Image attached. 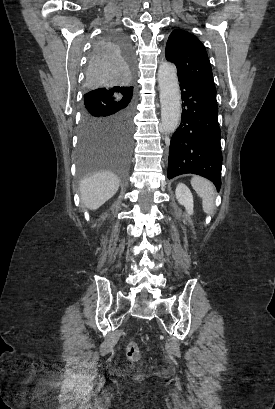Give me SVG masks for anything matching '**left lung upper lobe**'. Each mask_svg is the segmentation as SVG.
I'll list each match as a JSON object with an SVG mask.
<instances>
[{"label":"left lung upper lobe","instance_id":"1","mask_svg":"<svg viewBox=\"0 0 275 409\" xmlns=\"http://www.w3.org/2000/svg\"><path fill=\"white\" fill-rule=\"evenodd\" d=\"M166 59L175 64L178 79L191 80L216 91L208 55L195 35L182 29L173 30L167 41Z\"/></svg>","mask_w":275,"mask_h":409}]
</instances>
